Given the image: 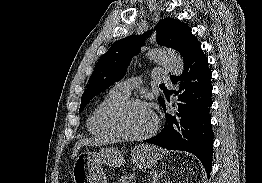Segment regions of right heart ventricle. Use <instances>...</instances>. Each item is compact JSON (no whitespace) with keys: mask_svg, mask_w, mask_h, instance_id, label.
<instances>
[{"mask_svg":"<svg viewBox=\"0 0 262 183\" xmlns=\"http://www.w3.org/2000/svg\"><path fill=\"white\" fill-rule=\"evenodd\" d=\"M125 99H127L126 96L113 89L103 96L88 117L87 127L90 133L100 138L118 137L111 129L108 118L111 111Z\"/></svg>","mask_w":262,"mask_h":183,"instance_id":"obj_1","label":"right heart ventricle"}]
</instances>
